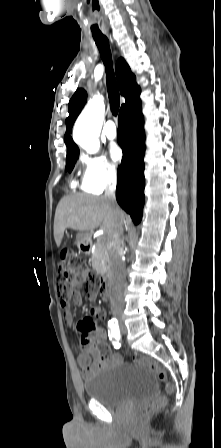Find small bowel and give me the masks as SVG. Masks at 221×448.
I'll use <instances>...</instances> for the list:
<instances>
[{
	"label": "small bowel",
	"mask_w": 221,
	"mask_h": 448,
	"mask_svg": "<svg viewBox=\"0 0 221 448\" xmlns=\"http://www.w3.org/2000/svg\"><path fill=\"white\" fill-rule=\"evenodd\" d=\"M86 279V274L81 273L77 283L84 282ZM71 302L78 306L82 305L83 299L79 289L69 287L66 292L62 293V299L60 301L65 323L69 326H74L75 320L71 310ZM104 315V309L96 306L91 309V316L82 321V324L89 322L93 325L91 330L82 329L80 333L82 353L76 356V363L83 377L100 369L110 361L121 360L119 354L111 353L106 332L96 321L97 318L103 317ZM91 331L94 333V339L90 336L89 332Z\"/></svg>",
	"instance_id": "small-bowel-1"
}]
</instances>
